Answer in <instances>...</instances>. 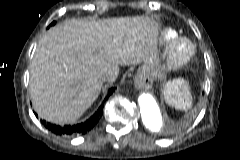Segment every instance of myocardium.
Instances as JSON below:
<instances>
[{
    "mask_svg": "<svg viewBox=\"0 0 240 160\" xmlns=\"http://www.w3.org/2000/svg\"><path fill=\"white\" fill-rule=\"evenodd\" d=\"M184 45L185 51L180 47ZM196 54L195 44L186 37H176L167 49V66L166 69H176L188 64Z\"/></svg>",
    "mask_w": 240,
    "mask_h": 160,
    "instance_id": "1",
    "label": "myocardium"
}]
</instances>
